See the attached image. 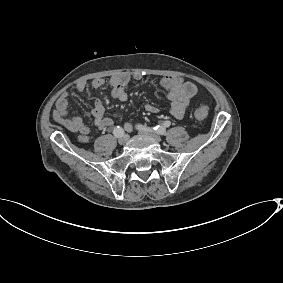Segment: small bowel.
Returning a JSON list of instances; mask_svg holds the SVG:
<instances>
[{
    "mask_svg": "<svg viewBox=\"0 0 283 283\" xmlns=\"http://www.w3.org/2000/svg\"><path fill=\"white\" fill-rule=\"evenodd\" d=\"M144 76L142 74L131 75L123 72L113 75L109 84L111 87V94L114 98L125 101L127 99V87L132 81H142ZM105 83L103 78H96L92 81L91 86L94 89L101 88ZM161 89L167 92L170 101V114L176 118L181 119L187 112L191 99L197 93V86L179 76H163L158 80ZM87 87V82L82 80L76 84L78 91H83ZM69 108V93L64 92L56 102L53 111L54 120L67 128L70 131L78 132L80 140L87 142L91 139L90 127L78 116L70 115ZM145 110L149 113H157L158 107L154 104H146ZM92 116L94 118L95 126L98 130H104L114 125V121L105 116L104 105L101 100L96 99L93 102ZM124 128L127 132L133 130V126L129 122L124 123Z\"/></svg>",
    "mask_w": 283,
    "mask_h": 283,
    "instance_id": "small-bowel-1",
    "label": "small bowel"
}]
</instances>
